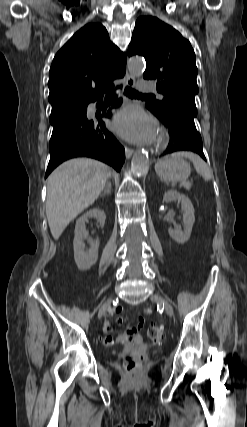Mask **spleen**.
Wrapping results in <instances>:
<instances>
[{"label": "spleen", "mask_w": 247, "mask_h": 427, "mask_svg": "<svg viewBox=\"0 0 247 427\" xmlns=\"http://www.w3.org/2000/svg\"><path fill=\"white\" fill-rule=\"evenodd\" d=\"M186 157L193 163L196 171L206 180L209 181L212 178V171L207 164L197 155L192 152H177L170 156H167L164 161H167L176 157ZM159 163L156 164L155 169L158 168Z\"/></svg>", "instance_id": "1"}]
</instances>
